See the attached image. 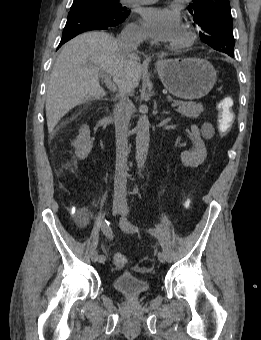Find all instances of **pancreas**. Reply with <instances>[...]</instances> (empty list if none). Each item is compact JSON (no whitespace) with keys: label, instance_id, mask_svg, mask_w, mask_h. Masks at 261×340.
<instances>
[{"label":"pancreas","instance_id":"1","mask_svg":"<svg viewBox=\"0 0 261 340\" xmlns=\"http://www.w3.org/2000/svg\"><path fill=\"white\" fill-rule=\"evenodd\" d=\"M175 102L179 104L176 111L185 117L198 118L200 114L204 111L203 105L201 103L196 104L194 102L184 101Z\"/></svg>","mask_w":261,"mask_h":340}]
</instances>
